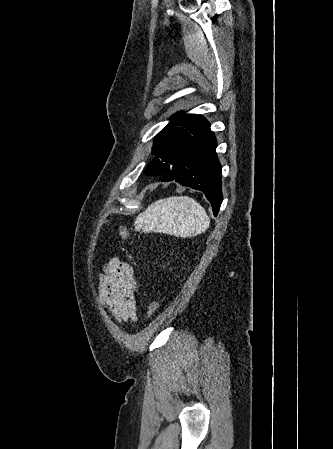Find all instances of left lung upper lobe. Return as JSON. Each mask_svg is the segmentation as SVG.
Returning <instances> with one entry per match:
<instances>
[{"label": "left lung upper lobe", "instance_id": "5c2ea615", "mask_svg": "<svg viewBox=\"0 0 333 449\" xmlns=\"http://www.w3.org/2000/svg\"><path fill=\"white\" fill-rule=\"evenodd\" d=\"M206 123L201 115L179 112L155 137L152 153L155 167L149 175H165L179 167L186 159L198 133Z\"/></svg>", "mask_w": 333, "mask_h": 449}]
</instances>
